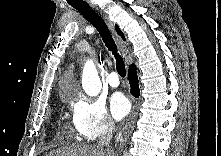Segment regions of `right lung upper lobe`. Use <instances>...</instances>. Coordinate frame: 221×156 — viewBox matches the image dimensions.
Returning a JSON list of instances; mask_svg holds the SVG:
<instances>
[{
	"instance_id": "1",
	"label": "right lung upper lobe",
	"mask_w": 221,
	"mask_h": 156,
	"mask_svg": "<svg viewBox=\"0 0 221 156\" xmlns=\"http://www.w3.org/2000/svg\"><path fill=\"white\" fill-rule=\"evenodd\" d=\"M116 30H117V33L123 38V40H125V37H124V34L122 33V31L119 29V27L116 25Z\"/></svg>"
}]
</instances>
